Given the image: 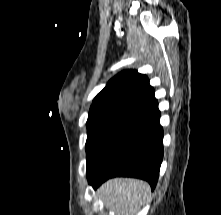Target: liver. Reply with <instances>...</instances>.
Listing matches in <instances>:
<instances>
[{
	"label": "liver",
	"instance_id": "liver-1",
	"mask_svg": "<svg viewBox=\"0 0 221 215\" xmlns=\"http://www.w3.org/2000/svg\"><path fill=\"white\" fill-rule=\"evenodd\" d=\"M98 193L106 208L116 215H137L148 199L150 186L133 178H113L104 183Z\"/></svg>",
	"mask_w": 221,
	"mask_h": 215
}]
</instances>
